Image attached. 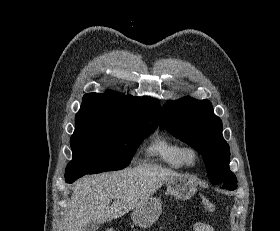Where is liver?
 Instances as JSON below:
<instances>
[{
  "label": "liver",
  "mask_w": 280,
  "mask_h": 231,
  "mask_svg": "<svg viewBox=\"0 0 280 231\" xmlns=\"http://www.w3.org/2000/svg\"><path fill=\"white\" fill-rule=\"evenodd\" d=\"M174 175L180 173L161 165H137L80 177L71 187V201L64 213L65 231H83L88 221L105 223L125 215Z\"/></svg>",
  "instance_id": "obj_1"
}]
</instances>
